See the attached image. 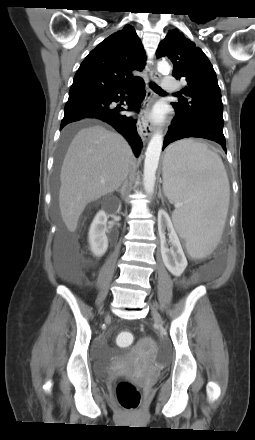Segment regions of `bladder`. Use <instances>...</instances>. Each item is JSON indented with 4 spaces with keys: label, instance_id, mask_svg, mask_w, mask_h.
<instances>
[{
    "label": "bladder",
    "instance_id": "31cf9c89",
    "mask_svg": "<svg viewBox=\"0 0 255 440\" xmlns=\"http://www.w3.org/2000/svg\"><path fill=\"white\" fill-rule=\"evenodd\" d=\"M137 350L145 351L148 344L145 340H140L137 345ZM112 369V362L110 358H102L96 360L95 372L99 378H106Z\"/></svg>",
    "mask_w": 255,
    "mask_h": 440
}]
</instances>
